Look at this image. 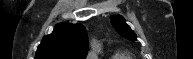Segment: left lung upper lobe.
<instances>
[{"instance_id":"1","label":"left lung upper lobe","mask_w":193,"mask_h":59,"mask_svg":"<svg viewBox=\"0 0 193 59\" xmlns=\"http://www.w3.org/2000/svg\"><path fill=\"white\" fill-rule=\"evenodd\" d=\"M111 24L115 28V30L124 38L130 41H136L137 36L133 30L126 24L125 19L120 16H111L110 17Z\"/></svg>"}]
</instances>
